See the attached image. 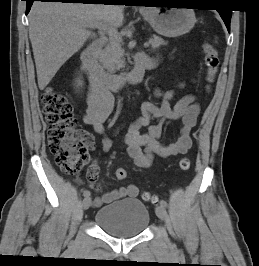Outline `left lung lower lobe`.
Segmentation results:
<instances>
[{
  "label": "left lung lower lobe",
  "instance_id": "0a47b994",
  "mask_svg": "<svg viewBox=\"0 0 259 266\" xmlns=\"http://www.w3.org/2000/svg\"><path fill=\"white\" fill-rule=\"evenodd\" d=\"M158 3H168L171 4L172 2H169V0L163 1V2H158ZM221 18L223 19L228 31L230 32V20H231V15L232 11L228 9H219Z\"/></svg>",
  "mask_w": 259,
  "mask_h": 266
}]
</instances>
